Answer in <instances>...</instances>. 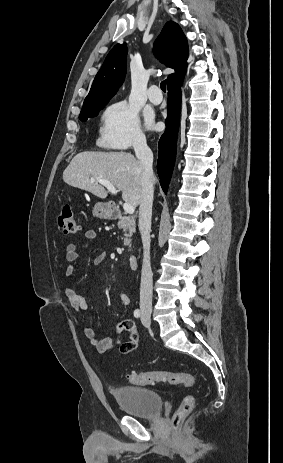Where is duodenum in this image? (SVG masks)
Wrapping results in <instances>:
<instances>
[{"instance_id":"410a0bca","label":"duodenum","mask_w":283,"mask_h":463,"mask_svg":"<svg viewBox=\"0 0 283 463\" xmlns=\"http://www.w3.org/2000/svg\"><path fill=\"white\" fill-rule=\"evenodd\" d=\"M107 209H108L109 216L111 218H117L120 216V209L117 207V205L113 203H108ZM129 266L132 270H136L138 268V257L137 256L132 255L129 257Z\"/></svg>"}]
</instances>
